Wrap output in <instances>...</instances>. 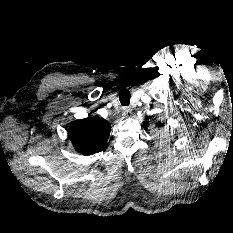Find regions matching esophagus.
<instances>
[{
  "instance_id": "obj_1",
  "label": "esophagus",
  "mask_w": 233,
  "mask_h": 233,
  "mask_svg": "<svg viewBox=\"0 0 233 233\" xmlns=\"http://www.w3.org/2000/svg\"><path fill=\"white\" fill-rule=\"evenodd\" d=\"M122 115L124 117H131L132 116V110L129 107H123Z\"/></svg>"
}]
</instances>
